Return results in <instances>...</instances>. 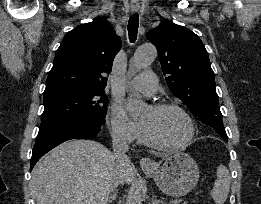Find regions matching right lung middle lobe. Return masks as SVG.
<instances>
[{"mask_svg": "<svg viewBox=\"0 0 261 204\" xmlns=\"http://www.w3.org/2000/svg\"><path fill=\"white\" fill-rule=\"evenodd\" d=\"M107 96L104 90H62L44 94V112L41 120L87 115L105 119Z\"/></svg>", "mask_w": 261, "mask_h": 204, "instance_id": "obj_1", "label": "right lung middle lobe"}]
</instances>
